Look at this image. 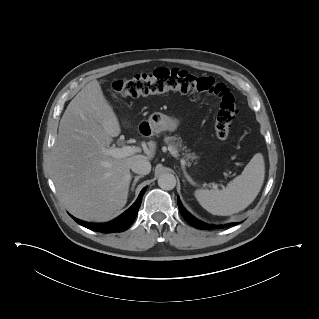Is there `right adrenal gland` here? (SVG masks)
<instances>
[{
  "label": "right adrenal gland",
  "instance_id": "right-adrenal-gland-1",
  "mask_svg": "<svg viewBox=\"0 0 319 319\" xmlns=\"http://www.w3.org/2000/svg\"><path fill=\"white\" fill-rule=\"evenodd\" d=\"M142 177H143V175H139V176H135V177H134V181H133L132 186H131V191H134V188H135V186H136V183H137L138 180H139L140 178H142Z\"/></svg>",
  "mask_w": 319,
  "mask_h": 319
}]
</instances>
